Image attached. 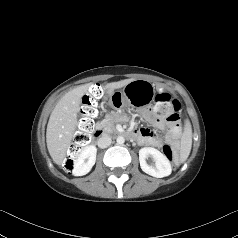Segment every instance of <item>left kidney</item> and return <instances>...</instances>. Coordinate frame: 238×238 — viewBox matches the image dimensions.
Masks as SVG:
<instances>
[{"label":"left kidney","mask_w":238,"mask_h":238,"mask_svg":"<svg viewBox=\"0 0 238 238\" xmlns=\"http://www.w3.org/2000/svg\"><path fill=\"white\" fill-rule=\"evenodd\" d=\"M153 158V165H148L146 159ZM139 161L141 169L157 178L169 176L172 172L171 164L167 157L152 147H144L139 150Z\"/></svg>","instance_id":"obj_1"}]
</instances>
